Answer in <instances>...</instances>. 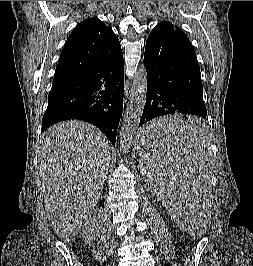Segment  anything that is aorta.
<instances>
[{"instance_id": "aorta-1", "label": "aorta", "mask_w": 253, "mask_h": 266, "mask_svg": "<svg viewBox=\"0 0 253 266\" xmlns=\"http://www.w3.org/2000/svg\"><path fill=\"white\" fill-rule=\"evenodd\" d=\"M147 84V72L141 66L134 75L129 103L119 132L120 148L124 153L128 152L136 135L146 102Z\"/></svg>"}]
</instances>
